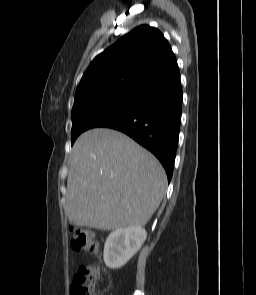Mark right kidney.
<instances>
[{"label": "right kidney", "mask_w": 256, "mask_h": 295, "mask_svg": "<svg viewBox=\"0 0 256 295\" xmlns=\"http://www.w3.org/2000/svg\"><path fill=\"white\" fill-rule=\"evenodd\" d=\"M147 233L141 226L115 229L109 234L104 246L103 258L107 267L124 266L141 248Z\"/></svg>", "instance_id": "obj_1"}]
</instances>
